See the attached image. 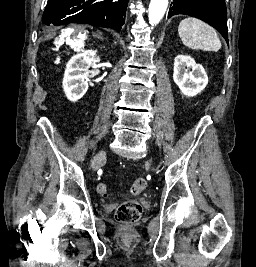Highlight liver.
Listing matches in <instances>:
<instances>
[{
	"label": "liver",
	"instance_id": "6515ba94",
	"mask_svg": "<svg viewBox=\"0 0 256 267\" xmlns=\"http://www.w3.org/2000/svg\"><path fill=\"white\" fill-rule=\"evenodd\" d=\"M80 32H84V28H80Z\"/></svg>",
	"mask_w": 256,
	"mask_h": 267
}]
</instances>
